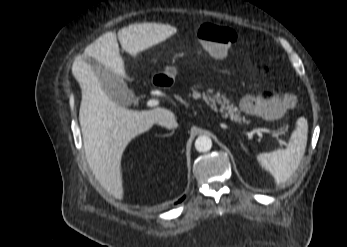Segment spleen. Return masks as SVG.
Returning <instances> with one entry per match:
<instances>
[{
    "label": "spleen",
    "instance_id": "obj_1",
    "mask_svg": "<svg viewBox=\"0 0 347 247\" xmlns=\"http://www.w3.org/2000/svg\"><path fill=\"white\" fill-rule=\"evenodd\" d=\"M307 136V120L300 117L286 149L261 153L257 156V160L270 171L277 184L285 183L298 169L305 153Z\"/></svg>",
    "mask_w": 347,
    "mask_h": 247
}]
</instances>
